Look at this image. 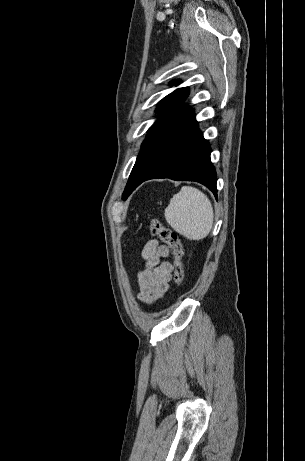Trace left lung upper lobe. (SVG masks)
<instances>
[{
    "instance_id": "1",
    "label": "left lung upper lobe",
    "mask_w": 305,
    "mask_h": 461,
    "mask_svg": "<svg viewBox=\"0 0 305 461\" xmlns=\"http://www.w3.org/2000/svg\"><path fill=\"white\" fill-rule=\"evenodd\" d=\"M179 83L180 80L172 82L171 84L178 85ZM188 95L189 92L187 88H180L167 95L157 105L156 110L161 113V117L150 127L148 130L149 134L142 143V149L136 159L123 193L124 200L133 192L137 181L146 174L150 167L152 160L151 143L155 133L181 107Z\"/></svg>"
}]
</instances>
